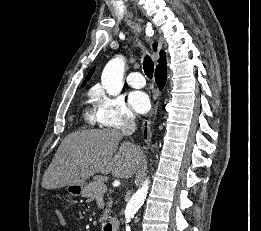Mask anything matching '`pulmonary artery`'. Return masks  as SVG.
I'll return each instance as SVG.
<instances>
[{"instance_id":"1","label":"pulmonary artery","mask_w":261,"mask_h":231,"mask_svg":"<svg viewBox=\"0 0 261 231\" xmlns=\"http://www.w3.org/2000/svg\"><path fill=\"white\" fill-rule=\"evenodd\" d=\"M127 82L133 88H142L146 84L143 75L139 71L131 72L127 77Z\"/></svg>"}]
</instances>
